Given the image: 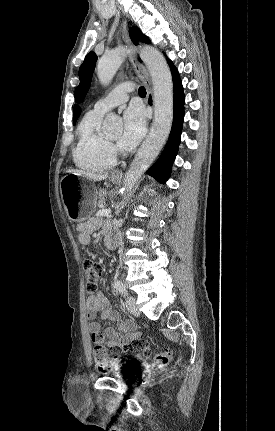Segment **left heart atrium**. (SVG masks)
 <instances>
[{
    "label": "left heart atrium",
    "mask_w": 275,
    "mask_h": 431,
    "mask_svg": "<svg viewBox=\"0 0 275 431\" xmlns=\"http://www.w3.org/2000/svg\"><path fill=\"white\" fill-rule=\"evenodd\" d=\"M145 131L146 116L143 109L137 105L130 106L123 116V130L118 139V146L126 151L134 149Z\"/></svg>",
    "instance_id": "39dd6f15"
}]
</instances>
